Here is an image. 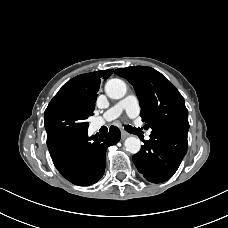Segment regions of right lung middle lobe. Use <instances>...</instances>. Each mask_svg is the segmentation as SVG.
Segmentation results:
<instances>
[{"label": "right lung middle lobe", "instance_id": "right-lung-middle-lobe-1", "mask_svg": "<svg viewBox=\"0 0 228 228\" xmlns=\"http://www.w3.org/2000/svg\"><path fill=\"white\" fill-rule=\"evenodd\" d=\"M91 115L69 100L53 98L44 113L47 142L70 132L87 130V118Z\"/></svg>", "mask_w": 228, "mask_h": 228}]
</instances>
